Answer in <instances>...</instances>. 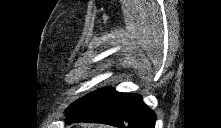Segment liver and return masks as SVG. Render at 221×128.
I'll return each mask as SVG.
<instances>
[{
	"label": "liver",
	"mask_w": 221,
	"mask_h": 128,
	"mask_svg": "<svg viewBox=\"0 0 221 128\" xmlns=\"http://www.w3.org/2000/svg\"><path fill=\"white\" fill-rule=\"evenodd\" d=\"M89 128H109L106 125H91Z\"/></svg>",
	"instance_id": "1"
}]
</instances>
